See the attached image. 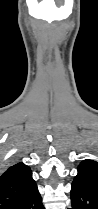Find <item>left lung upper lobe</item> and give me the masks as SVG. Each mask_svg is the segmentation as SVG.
<instances>
[{
  "mask_svg": "<svg viewBox=\"0 0 98 209\" xmlns=\"http://www.w3.org/2000/svg\"><path fill=\"white\" fill-rule=\"evenodd\" d=\"M73 183L85 185L98 191V162L86 159L78 166Z\"/></svg>",
  "mask_w": 98,
  "mask_h": 209,
  "instance_id": "5c2ea615",
  "label": "left lung upper lobe"
}]
</instances>
